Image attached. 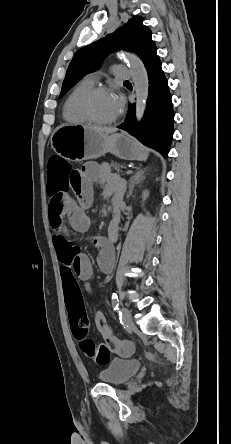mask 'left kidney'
<instances>
[{
    "label": "left kidney",
    "mask_w": 231,
    "mask_h": 444,
    "mask_svg": "<svg viewBox=\"0 0 231 444\" xmlns=\"http://www.w3.org/2000/svg\"><path fill=\"white\" fill-rule=\"evenodd\" d=\"M148 195H149V192L148 191H144L143 195H142L143 200H145L148 197Z\"/></svg>",
    "instance_id": "1"
}]
</instances>
